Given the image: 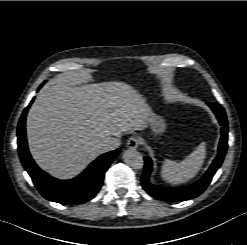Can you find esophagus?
Wrapping results in <instances>:
<instances>
[{"instance_id": "34e87169", "label": "esophagus", "mask_w": 247, "mask_h": 245, "mask_svg": "<svg viewBox=\"0 0 247 245\" xmlns=\"http://www.w3.org/2000/svg\"><path fill=\"white\" fill-rule=\"evenodd\" d=\"M138 144H139V140H138L137 137H132V138H130V139L128 140V143H127V145H128L129 147H137Z\"/></svg>"}]
</instances>
